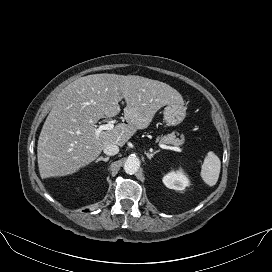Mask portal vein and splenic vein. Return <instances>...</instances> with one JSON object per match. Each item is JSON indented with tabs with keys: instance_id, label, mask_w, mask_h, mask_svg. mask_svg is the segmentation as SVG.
<instances>
[{
	"instance_id": "1",
	"label": "portal vein and splenic vein",
	"mask_w": 272,
	"mask_h": 272,
	"mask_svg": "<svg viewBox=\"0 0 272 272\" xmlns=\"http://www.w3.org/2000/svg\"><path fill=\"white\" fill-rule=\"evenodd\" d=\"M114 128V124L112 122H108L106 124H101L98 126L97 130H96V135L99 136V134L103 131V130H112ZM159 146L163 149H167V150H173V151H177V152H181L182 150L179 147H173V146H168L165 144H159Z\"/></svg>"
}]
</instances>
